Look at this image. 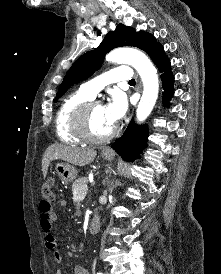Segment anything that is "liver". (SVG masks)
Returning a JSON list of instances; mask_svg holds the SVG:
<instances>
[{
  "instance_id": "6515ba94",
  "label": "liver",
  "mask_w": 221,
  "mask_h": 274,
  "mask_svg": "<svg viewBox=\"0 0 221 274\" xmlns=\"http://www.w3.org/2000/svg\"><path fill=\"white\" fill-rule=\"evenodd\" d=\"M97 152L94 149L78 148L54 144L47 148L42 159V173L47 175L48 166L52 160H63L76 166H85L95 159Z\"/></svg>"
}]
</instances>
